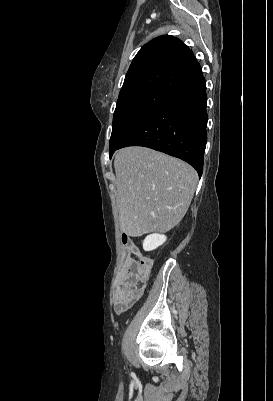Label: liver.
Here are the masks:
<instances>
[{"instance_id":"6515ba94","label":"liver","mask_w":273,"mask_h":401,"mask_svg":"<svg viewBox=\"0 0 273 401\" xmlns=\"http://www.w3.org/2000/svg\"><path fill=\"white\" fill-rule=\"evenodd\" d=\"M114 168L122 233H167L182 221L198 180L190 164L146 146H127L118 150Z\"/></svg>"}]
</instances>
